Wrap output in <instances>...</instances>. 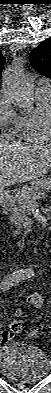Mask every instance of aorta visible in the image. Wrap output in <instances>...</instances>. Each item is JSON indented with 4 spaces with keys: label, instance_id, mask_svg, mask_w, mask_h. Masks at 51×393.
<instances>
[{
    "label": "aorta",
    "instance_id": "obj_1",
    "mask_svg": "<svg viewBox=\"0 0 51 393\" xmlns=\"http://www.w3.org/2000/svg\"><path fill=\"white\" fill-rule=\"evenodd\" d=\"M22 65L17 60L4 75L3 88L14 105L24 110L34 107V91L29 81L22 76Z\"/></svg>",
    "mask_w": 51,
    "mask_h": 393
}]
</instances>
